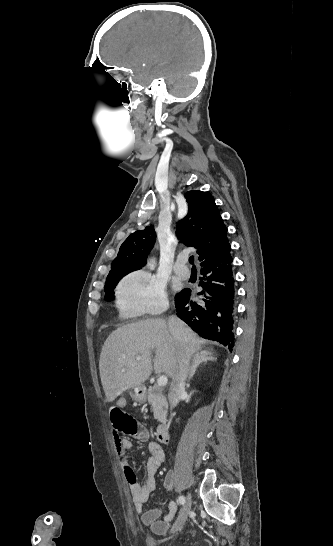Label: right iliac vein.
I'll return each mask as SVG.
<instances>
[{
	"mask_svg": "<svg viewBox=\"0 0 333 546\" xmlns=\"http://www.w3.org/2000/svg\"><path fill=\"white\" fill-rule=\"evenodd\" d=\"M190 508H191V495L190 493H188L184 507L181 510L175 524L171 528V533L181 530V528L183 527V525L185 524L187 520Z\"/></svg>",
	"mask_w": 333,
	"mask_h": 546,
	"instance_id": "63e3f726",
	"label": "right iliac vein"
}]
</instances>
